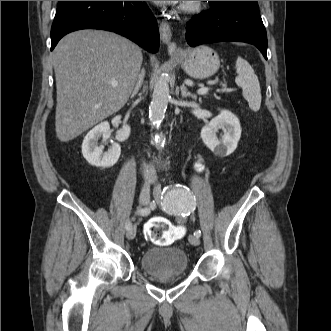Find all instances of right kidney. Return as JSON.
Masks as SVG:
<instances>
[{"label":"right kidney","mask_w":331,"mask_h":331,"mask_svg":"<svg viewBox=\"0 0 331 331\" xmlns=\"http://www.w3.org/2000/svg\"><path fill=\"white\" fill-rule=\"evenodd\" d=\"M130 126L125 125L117 132L116 140L123 142L130 135ZM110 133V124L107 121L101 122L90 130L84 137L82 143V154L87 162L93 166L101 168L112 167L118 161L121 154V147L118 143H113L108 151L104 152V147L98 144V139L101 136Z\"/></svg>","instance_id":"ca27d5eb"}]
</instances>
